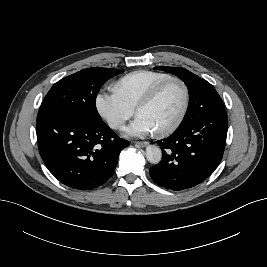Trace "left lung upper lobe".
Here are the masks:
<instances>
[{
  "instance_id": "5c2ea615",
  "label": "left lung upper lobe",
  "mask_w": 267,
  "mask_h": 267,
  "mask_svg": "<svg viewBox=\"0 0 267 267\" xmlns=\"http://www.w3.org/2000/svg\"><path fill=\"white\" fill-rule=\"evenodd\" d=\"M156 68L178 76L188 87L190 104L185 118L178 128H183L193 123L197 120L198 116H200V112L206 108H211L221 114H226L219 94L216 92L215 88L203 78L180 67L157 66Z\"/></svg>"
}]
</instances>
